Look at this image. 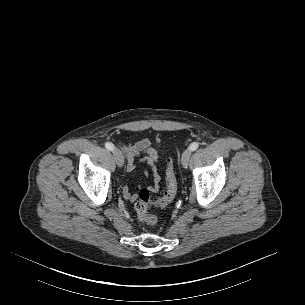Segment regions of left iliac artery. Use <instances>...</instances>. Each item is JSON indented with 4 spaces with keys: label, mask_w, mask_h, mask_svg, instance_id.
<instances>
[{
    "label": "left iliac artery",
    "mask_w": 305,
    "mask_h": 305,
    "mask_svg": "<svg viewBox=\"0 0 305 305\" xmlns=\"http://www.w3.org/2000/svg\"><path fill=\"white\" fill-rule=\"evenodd\" d=\"M198 147H199V144H198L197 142H194V143H192V144L189 146V149H190L191 151H194V150H196Z\"/></svg>",
    "instance_id": "obj_1"
}]
</instances>
